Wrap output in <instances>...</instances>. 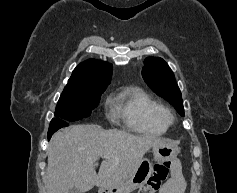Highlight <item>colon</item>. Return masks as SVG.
<instances>
[{
  "instance_id": "colon-1",
  "label": "colon",
  "mask_w": 237,
  "mask_h": 193,
  "mask_svg": "<svg viewBox=\"0 0 237 193\" xmlns=\"http://www.w3.org/2000/svg\"><path fill=\"white\" fill-rule=\"evenodd\" d=\"M170 172V163L156 164L153 174L147 184L138 193H156L167 180Z\"/></svg>"
}]
</instances>
